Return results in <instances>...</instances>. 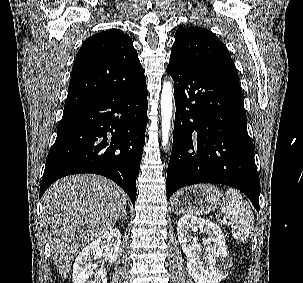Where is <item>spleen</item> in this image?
I'll return each mask as SVG.
<instances>
[{
  "instance_id": "spleen-1",
  "label": "spleen",
  "mask_w": 303,
  "mask_h": 283,
  "mask_svg": "<svg viewBox=\"0 0 303 283\" xmlns=\"http://www.w3.org/2000/svg\"><path fill=\"white\" fill-rule=\"evenodd\" d=\"M221 211L230 218L232 234L237 241L246 242L252 237L254 215L249 203L237 190L229 188L226 191Z\"/></svg>"
}]
</instances>
